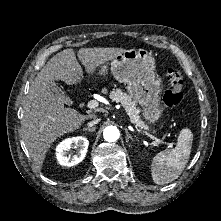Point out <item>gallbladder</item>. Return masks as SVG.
<instances>
[{
  "instance_id": "bac80fb5",
  "label": "gallbladder",
  "mask_w": 221,
  "mask_h": 221,
  "mask_svg": "<svg viewBox=\"0 0 221 221\" xmlns=\"http://www.w3.org/2000/svg\"><path fill=\"white\" fill-rule=\"evenodd\" d=\"M51 91L59 98L61 99L64 103L66 104H71L72 101L71 99L64 94V92L58 87L54 82L50 84Z\"/></svg>"
}]
</instances>
